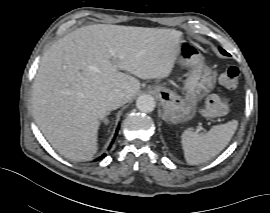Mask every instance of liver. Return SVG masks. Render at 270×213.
Segmentation results:
<instances>
[{
    "label": "liver",
    "instance_id": "1",
    "mask_svg": "<svg viewBox=\"0 0 270 213\" xmlns=\"http://www.w3.org/2000/svg\"><path fill=\"white\" fill-rule=\"evenodd\" d=\"M180 41L174 29L107 24L84 26L56 41L41 59L32 91L45 138L72 161L90 160L100 122L120 107L109 101L110 93L121 90L128 102L140 89L135 77H168Z\"/></svg>",
    "mask_w": 270,
    "mask_h": 213
}]
</instances>
